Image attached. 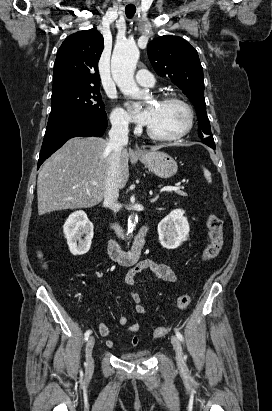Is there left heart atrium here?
<instances>
[{
  "instance_id": "left-heart-atrium-1",
  "label": "left heart atrium",
  "mask_w": 272,
  "mask_h": 411,
  "mask_svg": "<svg viewBox=\"0 0 272 411\" xmlns=\"http://www.w3.org/2000/svg\"><path fill=\"white\" fill-rule=\"evenodd\" d=\"M131 114L133 118L140 124L148 125L152 119L153 115V108L152 106H148L145 108H140L136 104L129 105Z\"/></svg>"
}]
</instances>
